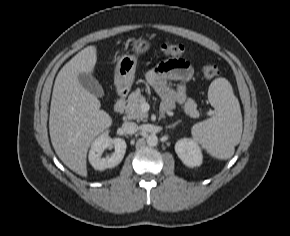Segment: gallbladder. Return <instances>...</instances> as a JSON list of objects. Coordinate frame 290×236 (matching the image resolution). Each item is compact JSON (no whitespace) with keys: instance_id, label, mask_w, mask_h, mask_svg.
Returning <instances> with one entry per match:
<instances>
[{"instance_id":"bac80fb5","label":"gallbladder","mask_w":290,"mask_h":236,"mask_svg":"<svg viewBox=\"0 0 290 236\" xmlns=\"http://www.w3.org/2000/svg\"><path fill=\"white\" fill-rule=\"evenodd\" d=\"M78 81L88 92L92 93L93 95L98 97L104 96V90L102 86L91 74H79Z\"/></svg>"}]
</instances>
